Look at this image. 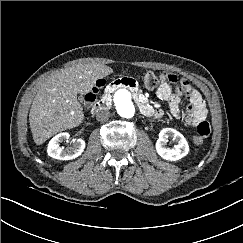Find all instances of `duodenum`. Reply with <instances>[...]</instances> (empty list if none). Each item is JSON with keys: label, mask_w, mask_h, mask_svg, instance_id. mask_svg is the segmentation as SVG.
Masks as SVG:
<instances>
[{"label": "duodenum", "mask_w": 243, "mask_h": 243, "mask_svg": "<svg viewBox=\"0 0 243 243\" xmlns=\"http://www.w3.org/2000/svg\"><path fill=\"white\" fill-rule=\"evenodd\" d=\"M116 88H127L131 91L134 100L137 102L139 109L142 114L145 116H154L155 110L152 106H150L144 98L138 93L136 85L133 80L129 78H123L112 83L106 90L105 94L102 96L100 100L95 102L92 106V112L98 113L101 110L108 108L112 104V96L111 93Z\"/></svg>", "instance_id": "1"}]
</instances>
